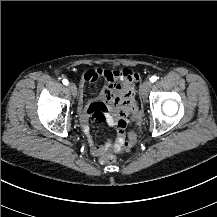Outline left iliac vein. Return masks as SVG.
Segmentation results:
<instances>
[{"label":"left iliac vein","instance_id":"4c4485c4","mask_svg":"<svg viewBox=\"0 0 217 217\" xmlns=\"http://www.w3.org/2000/svg\"><path fill=\"white\" fill-rule=\"evenodd\" d=\"M151 88V81H144L140 87V96L143 100H145L148 96V93Z\"/></svg>","mask_w":217,"mask_h":217}]
</instances>
